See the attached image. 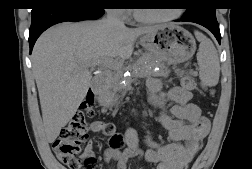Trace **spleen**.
Segmentation results:
<instances>
[{
	"instance_id": "obj_1",
	"label": "spleen",
	"mask_w": 252,
	"mask_h": 169,
	"mask_svg": "<svg viewBox=\"0 0 252 169\" xmlns=\"http://www.w3.org/2000/svg\"><path fill=\"white\" fill-rule=\"evenodd\" d=\"M195 36L200 42L197 52L200 80L206 86H216L220 76V64L217 50L212 41L202 33L195 31Z\"/></svg>"
}]
</instances>
